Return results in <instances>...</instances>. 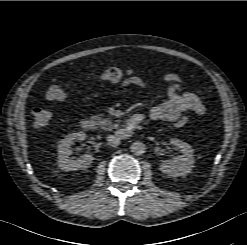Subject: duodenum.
<instances>
[{
    "label": "duodenum",
    "instance_id": "obj_1",
    "mask_svg": "<svg viewBox=\"0 0 247 245\" xmlns=\"http://www.w3.org/2000/svg\"><path fill=\"white\" fill-rule=\"evenodd\" d=\"M146 121L143 115L135 114L127 119L124 125L118 129L117 136L121 139L129 138L132 136L136 126ZM80 126L86 131H90L94 127V123L90 118H83L80 121Z\"/></svg>",
    "mask_w": 247,
    "mask_h": 245
}]
</instances>
